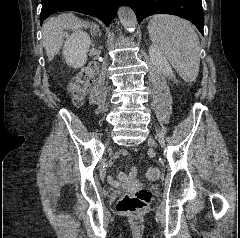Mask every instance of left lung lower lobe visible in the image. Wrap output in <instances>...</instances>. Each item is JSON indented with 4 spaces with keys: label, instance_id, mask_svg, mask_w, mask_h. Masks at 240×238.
Returning a JSON list of instances; mask_svg holds the SVG:
<instances>
[{
    "label": "left lung lower lobe",
    "instance_id": "obj_1",
    "mask_svg": "<svg viewBox=\"0 0 240 238\" xmlns=\"http://www.w3.org/2000/svg\"><path fill=\"white\" fill-rule=\"evenodd\" d=\"M138 23L153 14H171L191 21L203 34L204 13L201 0H125Z\"/></svg>",
    "mask_w": 240,
    "mask_h": 238
}]
</instances>
